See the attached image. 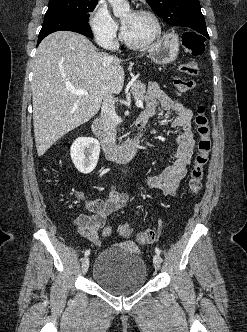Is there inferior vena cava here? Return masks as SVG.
<instances>
[{
	"instance_id": "602c4592",
	"label": "inferior vena cava",
	"mask_w": 247,
	"mask_h": 332,
	"mask_svg": "<svg viewBox=\"0 0 247 332\" xmlns=\"http://www.w3.org/2000/svg\"><path fill=\"white\" fill-rule=\"evenodd\" d=\"M114 104L113 96L109 95L104 99L101 109V117L107 135V140L111 145L115 143L117 126V114Z\"/></svg>"
}]
</instances>
